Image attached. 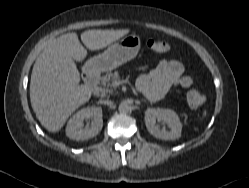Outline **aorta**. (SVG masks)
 <instances>
[{
	"mask_svg": "<svg viewBox=\"0 0 249 188\" xmlns=\"http://www.w3.org/2000/svg\"><path fill=\"white\" fill-rule=\"evenodd\" d=\"M118 110L121 113H126L129 111V105L125 102H122L119 104Z\"/></svg>",
	"mask_w": 249,
	"mask_h": 188,
	"instance_id": "762f6f07",
	"label": "aorta"
}]
</instances>
